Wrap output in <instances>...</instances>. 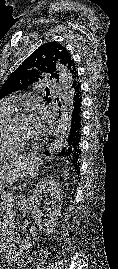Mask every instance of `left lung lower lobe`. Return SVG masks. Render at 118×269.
<instances>
[{
	"label": "left lung lower lobe",
	"instance_id": "0a47b994",
	"mask_svg": "<svg viewBox=\"0 0 118 269\" xmlns=\"http://www.w3.org/2000/svg\"><path fill=\"white\" fill-rule=\"evenodd\" d=\"M81 106L82 95L79 84L74 89H72L70 100L71 114L69 127L63 145L58 152L59 156L67 157L73 163L76 169L79 168V158L81 154ZM44 154L49 155V151H45Z\"/></svg>",
	"mask_w": 118,
	"mask_h": 269
}]
</instances>
